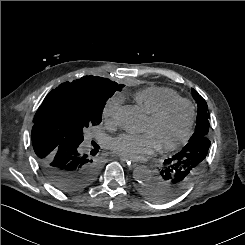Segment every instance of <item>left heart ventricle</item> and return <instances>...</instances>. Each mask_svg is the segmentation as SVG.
I'll return each instance as SVG.
<instances>
[{
  "label": "left heart ventricle",
  "instance_id": "obj_1",
  "mask_svg": "<svg viewBox=\"0 0 245 245\" xmlns=\"http://www.w3.org/2000/svg\"><path fill=\"white\" fill-rule=\"evenodd\" d=\"M189 119V109L184 104L175 105L159 121L149 118L143 133H148L158 146L176 142L184 133Z\"/></svg>",
  "mask_w": 245,
  "mask_h": 245
}]
</instances>
